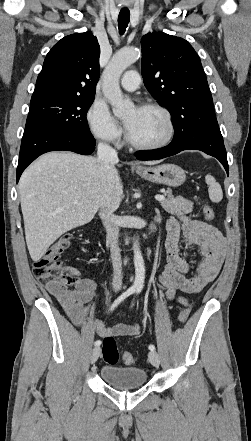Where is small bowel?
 I'll return each instance as SVG.
<instances>
[{"instance_id": "c3829d8e", "label": "small bowel", "mask_w": 251, "mask_h": 441, "mask_svg": "<svg viewBox=\"0 0 251 441\" xmlns=\"http://www.w3.org/2000/svg\"><path fill=\"white\" fill-rule=\"evenodd\" d=\"M166 230L167 262L158 279L166 297L185 306L186 299L177 295V292L196 294L217 277L224 260L225 240L212 224L188 216H171L166 222ZM181 243L184 251L181 250ZM195 248L200 249L203 258L196 274L187 277L191 252ZM48 290L78 327H90L103 338L140 334L139 325L120 323L108 327L101 320L90 316L91 301L97 290V284L92 279H80L73 288L56 290L48 287Z\"/></svg>"}]
</instances>
